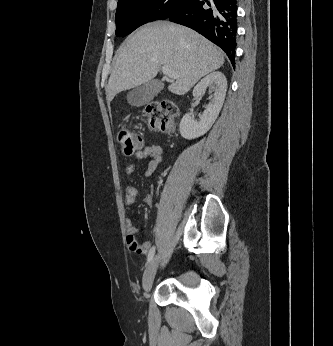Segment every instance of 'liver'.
<instances>
[{"label":"liver","mask_w":333,"mask_h":346,"mask_svg":"<svg viewBox=\"0 0 333 346\" xmlns=\"http://www.w3.org/2000/svg\"><path fill=\"white\" fill-rule=\"evenodd\" d=\"M223 63L224 53L192 29L168 22L150 23L120 46L106 89L107 101L149 82L163 66L171 67L178 75L168 90L184 95Z\"/></svg>","instance_id":"liver-1"}]
</instances>
